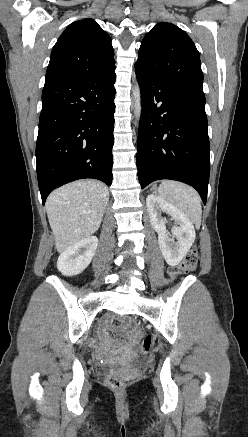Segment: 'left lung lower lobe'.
<instances>
[{"label":"left lung lower lobe","mask_w":248,"mask_h":437,"mask_svg":"<svg viewBox=\"0 0 248 437\" xmlns=\"http://www.w3.org/2000/svg\"><path fill=\"white\" fill-rule=\"evenodd\" d=\"M136 75L142 103L136 157L141 188L159 179L177 180L193 186L206 204L210 148L204 93Z\"/></svg>","instance_id":"obj_1"}]
</instances>
